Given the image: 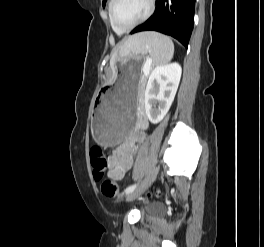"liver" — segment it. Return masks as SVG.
<instances>
[{"label":"liver","instance_id":"6515ba94","mask_svg":"<svg viewBox=\"0 0 264 247\" xmlns=\"http://www.w3.org/2000/svg\"><path fill=\"white\" fill-rule=\"evenodd\" d=\"M142 34V33H141ZM140 34H137V35H134V36H132V37H130L125 43H124V45L121 47V49L129 42V41H132V40H134L136 37H138Z\"/></svg>","mask_w":264,"mask_h":247}]
</instances>
